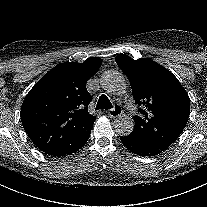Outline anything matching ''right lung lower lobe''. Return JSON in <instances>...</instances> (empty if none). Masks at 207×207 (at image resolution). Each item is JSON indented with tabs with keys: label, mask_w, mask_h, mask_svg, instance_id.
<instances>
[{
	"label": "right lung lower lobe",
	"mask_w": 207,
	"mask_h": 207,
	"mask_svg": "<svg viewBox=\"0 0 207 207\" xmlns=\"http://www.w3.org/2000/svg\"><path fill=\"white\" fill-rule=\"evenodd\" d=\"M89 136H90V134H89V135L87 136V138L83 141V143H82L81 145H79V147L76 149V151L79 150L83 145L86 144V142H87ZM76 151H75V152H76ZM73 153H74V152H73ZM71 154H72V153H71Z\"/></svg>",
	"instance_id": "98d812e1"
}]
</instances>
